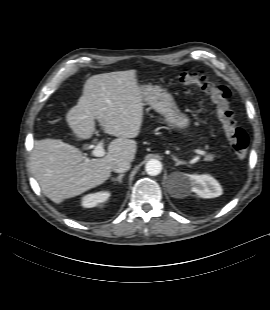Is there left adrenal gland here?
Listing matches in <instances>:
<instances>
[{
    "mask_svg": "<svg viewBox=\"0 0 270 310\" xmlns=\"http://www.w3.org/2000/svg\"><path fill=\"white\" fill-rule=\"evenodd\" d=\"M172 159L176 162L175 166H179V165H183V164L186 165L187 164L186 162L179 160L176 156H172Z\"/></svg>",
    "mask_w": 270,
    "mask_h": 310,
    "instance_id": "left-adrenal-gland-1",
    "label": "left adrenal gland"
}]
</instances>
